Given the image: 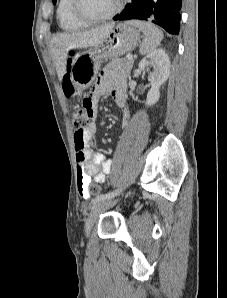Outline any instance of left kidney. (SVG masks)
<instances>
[{"mask_svg":"<svg viewBox=\"0 0 227 298\" xmlns=\"http://www.w3.org/2000/svg\"><path fill=\"white\" fill-rule=\"evenodd\" d=\"M153 67V71H149ZM139 69L149 73L151 89L147 94L145 104L152 106L160 98V87L168 79L170 72V59L165 50L157 49L149 53L139 63Z\"/></svg>","mask_w":227,"mask_h":298,"instance_id":"left-kidney-1","label":"left kidney"}]
</instances>
